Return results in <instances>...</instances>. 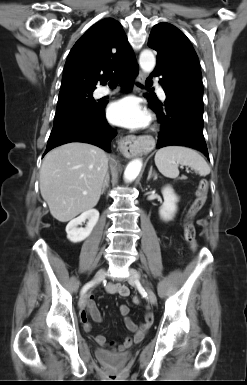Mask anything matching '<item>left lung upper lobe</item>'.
Instances as JSON below:
<instances>
[{
	"label": "left lung upper lobe",
	"mask_w": 247,
	"mask_h": 385,
	"mask_svg": "<svg viewBox=\"0 0 247 385\" xmlns=\"http://www.w3.org/2000/svg\"><path fill=\"white\" fill-rule=\"evenodd\" d=\"M148 46L158 53L156 67L164 68L185 89L203 98L197 54L188 38L178 28L165 22L155 25L150 33Z\"/></svg>",
	"instance_id": "5c2ea615"
}]
</instances>
